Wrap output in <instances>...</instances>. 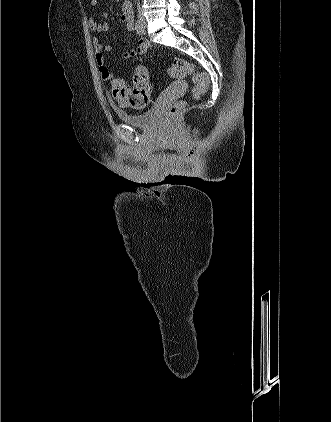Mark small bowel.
<instances>
[{
	"mask_svg": "<svg viewBox=\"0 0 331 422\" xmlns=\"http://www.w3.org/2000/svg\"><path fill=\"white\" fill-rule=\"evenodd\" d=\"M98 0H91V5L96 7ZM120 20L125 24L126 30L130 33L136 32L134 20H133V10L132 6L128 1H124L122 4V11L120 15ZM89 28L92 32L96 34L107 33L109 26L107 24V14L103 13L98 20L91 17L89 19ZM93 47L95 50V58L98 65V70L101 78L105 81H110L113 78V72L107 65L106 53L112 51V46L107 44L103 45L98 37H95L92 41ZM148 41L145 38H139L136 42V47L126 51L122 55V59L128 60L137 57L138 55H143L148 49ZM124 106H129L124 101H119Z\"/></svg>",
	"mask_w": 331,
	"mask_h": 422,
	"instance_id": "c3829d8e",
	"label": "small bowel"
}]
</instances>
